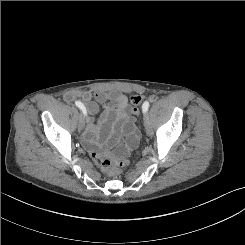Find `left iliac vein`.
<instances>
[{
	"label": "left iliac vein",
	"instance_id": "obj_1",
	"mask_svg": "<svg viewBox=\"0 0 245 245\" xmlns=\"http://www.w3.org/2000/svg\"><path fill=\"white\" fill-rule=\"evenodd\" d=\"M144 123H145V127H146V132L149 136L152 135L153 133V128H152V124H151V120L149 119V117L146 115V113H144Z\"/></svg>",
	"mask_w": 245,
	"mask_h": 245
}]
</instances>
